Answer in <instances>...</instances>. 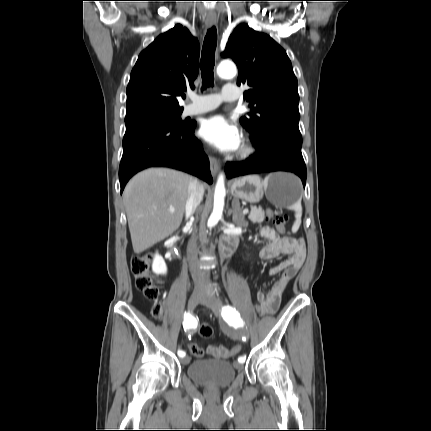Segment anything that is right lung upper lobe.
<instances>
[{
  "label": "right lung upper lobe",
  "instance_id": "obj_1",
  "mask_svg": "<svg viewBox=\"0 0 431 431\" xmlns=\"http://www.w3.org/2000/svg\"><path fill=\"white\" fill-rule=\"evenodd\" d=\"M199 71V42L178 24L143 50L127 86L126 120L183 111L178 98L194 88Z\"/></svg>",
  "mask_w": 431,
  "mask_h": 431
}]
</instances>
